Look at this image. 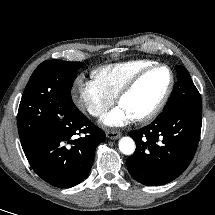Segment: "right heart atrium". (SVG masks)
<instances>
[{"mask_svg": "<svg viewBox=\"0 0 215 215\" xmlns=\"http://www.w3.org/2000/svg\"><path fill=\"white\" fill-rule=\"evenodd\" d=\"M75 106L92 117L103 116L113 105L115 97L105 92L94 80L78 77L71 89Z\"/></svg>", "mask_w": 215, "mask_h": 215, "instance_id": "right-heart-atrium-1", "label": "right heart atrium"}]
</instances>
